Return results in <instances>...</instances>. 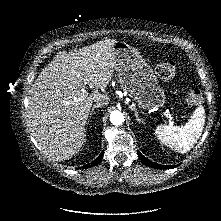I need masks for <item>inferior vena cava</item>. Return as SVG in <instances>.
Listing matches in <instances>:
<instances>
[{
    "label": "inferior vena cava",
    "mask_w": 221,
    "mask_h": 221,
    "mask_svg": "<svg viewBox=\"0 0 221 221\" xmlns=\"http://www.w3.org/2000/svg\"><path fill=\"white\" fill-rule=\"evenodd\" d=\"M94 101L99 105H107L109 104L110 99L107 95L97 94L94 97Z\"/></svg>",
    "instance_id": "inferior-vena-cava-1"
}]
</instances>
